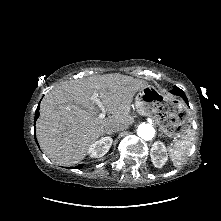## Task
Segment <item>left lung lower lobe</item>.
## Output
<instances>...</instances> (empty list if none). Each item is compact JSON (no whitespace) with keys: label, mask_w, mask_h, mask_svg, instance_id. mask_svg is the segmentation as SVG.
I'll use <instances>...</instances> for the list:
<instances>
[{"label":"left lung lower lobe","mask_w":221,"mask_h":221,"mask_svg":"<svg viewBox=\"0 0 221 221\" xmlns=\"http://www.w3.org/2000/svg\"><path fill=\"white\" fill-rule=\"evenodd\" d=\"M171 93H173L175 95H178V96H181L185 100V102L188 104V99L186 98L185 93L180 88H178L177 86L173 87V90H171Z\"/></svg>","instance_id":"1"}]
</instances>
